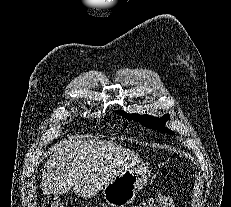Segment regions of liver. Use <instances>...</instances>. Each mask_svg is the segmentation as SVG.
<instances>
[{
    "label": "liver",
    "instance_id": "1",
    "mask_svg": "<svg viewBox=\"0 0 231 207\" xmlns=\"http://www.w3.org/2000/svg\"><path fill=\"white\" fill-rule=\"evenodd\" d=\"M42 174L44 195L65 194L72 188L90 198L120 172L133 168L140 158L115 143L80 136L58 143Z\"/></svg>",
    "mask_w": 231,
    "mask_h": 207
}]
</instances>
